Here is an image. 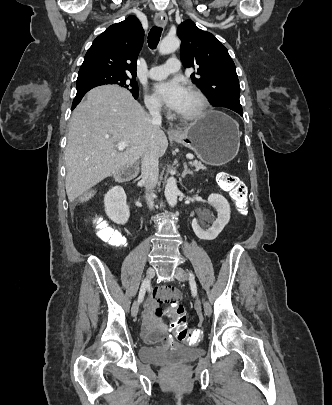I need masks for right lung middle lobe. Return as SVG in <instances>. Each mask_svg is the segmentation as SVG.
<instances>
[{"label": "right lung middle lobe", "mask_w": 332, "mask_h": 405, "mask_svg": "<svg viewBox=\"0 0 332 405\" xmlns=\"http://www.w3.org/2000/svg\"><path fill=\"white\" fill-rule=\"evenodd\" d=\"M105 84H116L127 88L133 96H138L139 90L134 75L94 71L78 74L76 88L77 92H83L96 86Z\"/></svg>", "instance_id": "obj_1"}]
</instances>
